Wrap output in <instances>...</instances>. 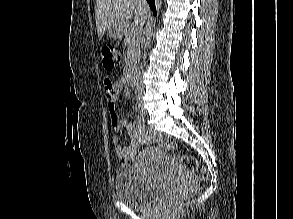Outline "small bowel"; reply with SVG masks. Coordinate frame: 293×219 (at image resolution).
<instances>
[{"instance_id":"1","label":"small bowel","mask_w":293,"mask_h":219,"mask_svg":"<svg viewBox=\"0 0 293 219\" xmlns=\"http://www.w3.org/2000/svg\"><path fill=\"white\" fill-rule=\"evenodd\" d=\"M106 90V99L108 102V110L111 118V126L114 131L126 130L130 138V143L121 146L119 138H113L114 150L116 156L122 162H131L137 159L139 148L149 141V135L140 123L129 122L126 119L120 118L115 110L117 96L122 94L123 97L129 98L131 93L126 86V81L121 78L117 81H112L108 78L104 80Z\"/></svg>"}]
</instances>
